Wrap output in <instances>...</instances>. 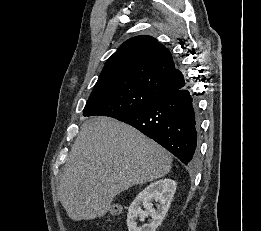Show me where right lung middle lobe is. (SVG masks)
Returning <instances> with one entry per match:
<instances>
[{"label": "right lung middle lobe", "mask_w": 261, "mask_h": 231, "mask_svg": "<svg viewBox=\"0 0 261 231\" xmlns=\"http://www.w3.org/2000/svg\"><path fill=\"white\" fill-rule=\"evenodd\" d=\"M157 99L154 94L135 86L92 92L83 115H102L117 119L134 113Z\"/></svg>", "instance_id": "obj_1"}]
</instances>
